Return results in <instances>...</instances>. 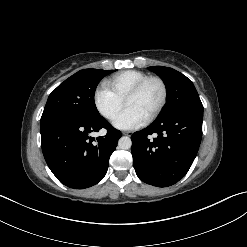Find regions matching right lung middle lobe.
Listing matches in <instances>:
<instances>
[{
    "label": "right lung middle lobe",
    "mask_w": 247,
    "mask_h": 247,
    "mask_svg": "<svg viewBox=\"0 0 247 247\" xmlns=\"http://www.w3.org/2000/svg\"><path fill=\"white\" fill-rule=\"evenodd\" d=\"M116 70L83 69L61 83L48 97L42 117L64 114L82 119L100 117L94 93L100 80Z\"/></svg>",
    "instance_id": "1"
}]
</instances>
